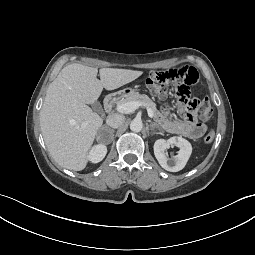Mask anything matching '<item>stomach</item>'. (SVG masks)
<instances>
[{
  "instance_id": "0dacf381",
  "label": "stomach",
  "mask_w": 255,
  "mask_h": 255,
  "mask_svg": "<svg viewBox=\"0 0 255 255\" xmlns=\"http://www.w3.org/2000/svg\"><path fill=\"white\" fill-rule=\"evenodd\" d=\"M136 92H135V90L134 89H130V88H128V89H126V90H124L123 91V94H124V96H131V95H133V94H135Z\"/></svg>"
}]
</instances>
